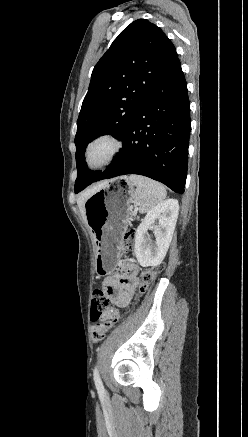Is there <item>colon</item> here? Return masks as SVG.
Segmentation results:
<instances>
[{"instance_id": "1", "label": "colon", "mask_w": 248, "mask_h": 437, "mask_svg": "<svg viewBox=\"0 0 248 437\" xmlns=\"http://www.w3.org/2000/svg\"><path fill=\"white\" fill-rule=\"evenodd\" d=\"M134 233L128 231L124 234L121 242L123 250H130L134 245ZM164 269L163 264L156 265L143 270L140 274V283L138 287V295L143 294L148 287L153 283L157 275ZM112 314V304L104 289L97 288L93 291L92 302L90 309V319L94 323L91 331V339L93 342H100L105 337L106 332L111 329L119 320L118 316H113L111 319L106 318Z\"/></svg>"}]
</instances>
